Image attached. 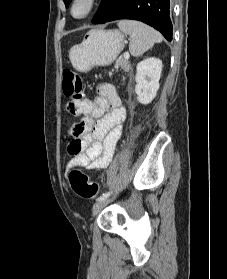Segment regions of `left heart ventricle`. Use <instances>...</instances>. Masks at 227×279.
Segmentation results:
<instances>
[{
  "mask_svg": "<svg viewBox=\"0 0 227 279\" xmlns=\"http://www.w3.org/2000/svg\"><path fill=\"white\" fill-rule=\"evenodd\" d=\"M84 10H85V4L83 1H81L76 5V7L74 9V13L76 15H81L84 12Z\"/></svg>",
  "mask_w": 227,
  "mask_h": 279,
  "instance_id": "b2bd125f",
  "label": "left heart ventricle"
}]
</instances>
